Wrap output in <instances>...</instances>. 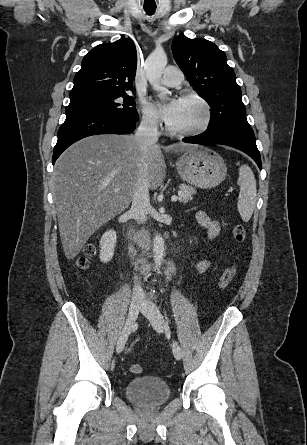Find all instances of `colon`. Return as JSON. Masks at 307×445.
Returning <instances> with one entry per match:
<instances>
[{
  "label": "colon",
  "mask_w": 307,
  "mask_h": 445,
  "mask_svg": "<svg viewBox=\"0 0 307 445\" xmlns=\"http://www.w3.org/2000/svg\"><path fill=\"white\" fill-rule=\"evenodd\" d=\"M233 238L236 242L242 243L246 239V229L242 224H237L233 228ZM95 253L94 245H89L86 249V255L79 260V266L82 268L87 267L88 258ZM235 265H232L225 269L220 280H219V288L226 289L230 282L232 281L235 275ZM131 373H140L142 371V367L139 364H132L129 367Z\"/></svg>",
  "instance_id": "colon-1"
}]
</instances>
